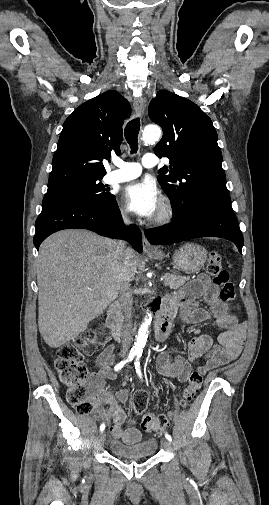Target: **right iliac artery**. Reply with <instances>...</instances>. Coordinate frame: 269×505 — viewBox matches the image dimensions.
I'll return each instance as SVG.
<instances>
[{
  "instance_id": "1",
  "label": "right iliac artery",
  "mask_w": 269,
  "mask_h": 505,
  "mask_svg": "<svg viewBox=\"0 0 269 505\" xmlns=\"http://www.w3.org/2000/svg\"><path fill=\"white\" fill-rule=\"evenodd\" d=\"M136 355H137V353L135 351H131L125 360H123V361L119 362L117 365H115L114 370L118 371V370L122 369L124 367V365L128 362H131ZM104 429H105V424L102 423L100 425V431L102 432V431H104Z\"/></svg>"
}]
</instances>
